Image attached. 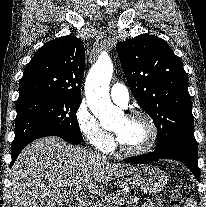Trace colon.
<instances>
[{
  "mask_svg": "<svg viewBox=\"0 0 206 207\" xmlns=\"http://www.w3.org/2000/svg\"><path fill=\"white\" fill-rule=\"evenodd\" d=\"M182 191L180 189H174L169 194V207H180L182 202ZM68 207H77L76 205H70Z\"/></svg>",
  "mask_w": 206,
  "mask_h": 207,
  "instance_id": "obj_1",
  "label": "colon"
}]
</instances>
